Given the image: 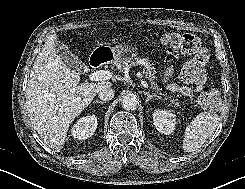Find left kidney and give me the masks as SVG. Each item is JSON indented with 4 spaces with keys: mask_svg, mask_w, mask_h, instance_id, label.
Segmentation results:
<instances>
[{
    "mask_svg": "<svg viewBox=\"0 0 245 189\" xmlns=\"http://www.w3.org/2000/svg\"><path fill=\"white\" fill-rule=\"evenodd\" d=\"M155 128L165 135H169L174 131L176 124L175 115L165 110H155L153 114Z\"/></svg>",
    "mask_w": 245,
    "mask_h": 189,
    "instance_id": "left-kidney-1",
    "label": "left kidney"
}]
</instances>
